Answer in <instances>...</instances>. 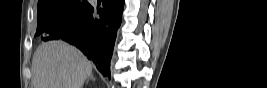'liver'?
I'll use <instances>...</instances> for the list:
<instances>
[{
  "mask_svg": "<svg viewBox=\"0 0 267 88\" xmlns=\"http://www.w3.org/2000/svg\"><path fill=\"white\" fill-rule=\"evenodd\" d=\"M34 88H82L92 65L76 47L63 41L42 43L33 61Z\"/></svg>",
  "mask_w": 267,
  "mask_h": 88,
  "instance_id": "obj_1",
  "label": "liver"
}]
</instances>
